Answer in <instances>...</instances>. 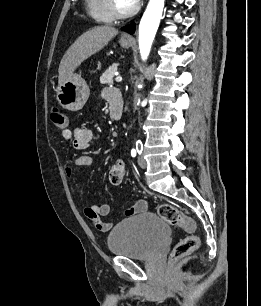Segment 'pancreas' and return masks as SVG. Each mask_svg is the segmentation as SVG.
I'll use <instances>...</instances> for the list:
<instances>
[{"instance_id": "cf45deb5", "label": "pancreas", "mask_w": 261, "mask_h": 306, "mask_svg": "<svg viewBox=\"0 0 261 306\" xmlns=\"http://www.w3.org/2000/svg\"><path fill=\"white\" fill-rule=\"evenodd\" d=\"M117 67L118 64H113L111 67H109L100 77V83L108 85L112 84L114 74L117 71Z\"/></svg>"}]
</instances>
